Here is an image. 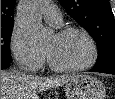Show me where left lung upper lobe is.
<instances>
[{
  "mask_svg": "<svg viewBox=\"0 0 115 99\" xmlns=\"http://www.w3.org/2000/svg\"><path fill=\"white\" fill-rule=\"evenodd\" d=\"M95 40L98 59L93 68L115 66V20L109 0H59Z\"/></svg>",
  "mask_w": 115,
  "mask_h": 99,
  "instance_id": "5c2ea615",
  "label": "left lung upper lobe"
}]
</instances>
